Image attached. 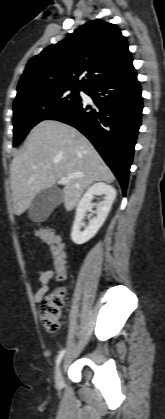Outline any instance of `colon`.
<instances>
[{"instance_id":"obj_1","label":"colon","mask_w":165,"mask_h":419,"mask_svg":"<svg viewBox=\"0 0 165 419\" xmlns=\"http://www.w3.org/2000/svg\"><path fill=\"white\" fill-rule=\"evenodd\" d=\"M45 242L49 245L58 281H65L67 278V267L65 263V251L61 238L51 230H41ZM64 313V291L58 289L48 294L39 306V317L45 330L55 333L60 329V322Z\"/></svg>"}]
</instances>
